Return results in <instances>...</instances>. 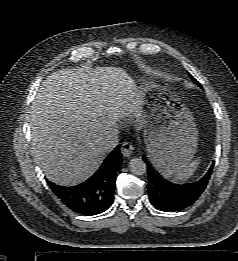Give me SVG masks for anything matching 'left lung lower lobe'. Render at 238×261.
<instances>
[{
    "instance_id": "0a47b994",
    "label": "left lung lower lobe",
    "mask_w": 238,
    "mask_h": 261,
    "mask_svg": "<svg viewBox=\"0 0 238 261\" xmlns=\"http://www.w3.org/2000/svg\"><path fill=\"white\" fill-rule=\"evenodd\" d=\"M146 161L147 157L143 156ZM214 162L206 174L198 181L190 184H175L166 180L148 164V193L150 202L163 211H181L193 204L206 188L211 177Z\"/></svg>"
}]
</instances>
